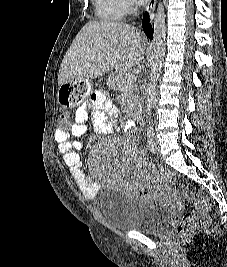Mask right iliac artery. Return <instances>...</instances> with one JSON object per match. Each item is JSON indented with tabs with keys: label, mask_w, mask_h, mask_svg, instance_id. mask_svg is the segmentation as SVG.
I'll list each match as a JSON object with an SVG mask.
<instances>
[{
	"label": "right iliac artery",
	"mask_w": 227,
	"mask_h": 267,
	"mask_svg": "<svg viewBox=\"0 0 227 267\" xmlns=\"http://www.w3.org/2000/svg\"><path fill=\"white\" fill-rule=\"evenodd\" d=\"M150 137V136H149ZM147 149L150 151V152H154V145L152 143V140L150 138H148L147 140Z\"/></svg>",
	"instance_id": "82829eb1"
}]
</instances>
